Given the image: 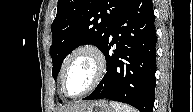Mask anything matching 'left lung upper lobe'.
Here are the masks:
<instances>
[{
  "label": "left lung upper lobe",
  "mask_w": 193,
  "mask_h": 112,
  "mask_svg": "<svg viewBox=\"0 0 193 112\" xmlns=\"http://www.w3.org/2000/svg\"><path fill=\"white\" fill-rule=\"evenodd\" d=\"M132 1L58 0L57 15L51 26L53 78H57L65 57L78 46L93 44L102 50L113 26Z\"/></svg>",
  "instance_id": "obj_1"
}]
</instances>
